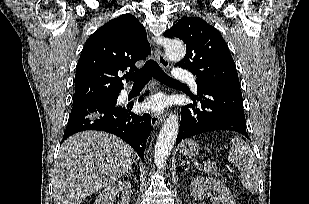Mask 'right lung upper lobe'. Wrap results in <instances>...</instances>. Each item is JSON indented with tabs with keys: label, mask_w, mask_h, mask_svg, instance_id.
<instances>
[{
	"label": "right lung upper lobe",
	"mask_w": 309,
	"mask_h": 204,
	"mask_svg": "<svg viewBox=\"0 0 309 204\" xmlns=\"http://www.w3.org/2000/svg\"><path fill=\"white\" fill-rule=\"evenodd\" d=\"M150 51L145 28L131 14L121 15L100 27L81 52L73 106L119 94L123 78L118 75L127 68L136 70V61L145 59Z\"/></svg>",
	"instance_id": "obj_1"
}]
</instances>
